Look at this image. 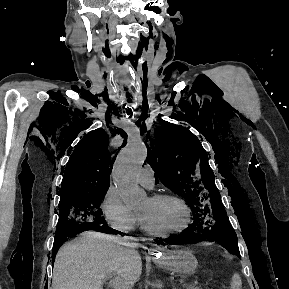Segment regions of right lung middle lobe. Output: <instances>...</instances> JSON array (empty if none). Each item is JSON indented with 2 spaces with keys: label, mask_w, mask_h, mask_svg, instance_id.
Segmentation results:
<instances>
[{
  "label": "right lung middle lobe",
  "mask_w": 289,
  "mask_h": 289,
  "mask_svg": "<svg viewBox=\"0 0 289 289\" xmlns=\"http://www.w3.org/2000/svg\"><path fill=\"white\" fill-rule=\"evenodd\" d=\"M108 189L61 197L59 222L55 236H65L77 230L98 227L105 223L100 204Z\"/></svg>",
  "instance_id": "right-lung-middle-lobe-1"
}]
</instances>
